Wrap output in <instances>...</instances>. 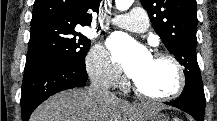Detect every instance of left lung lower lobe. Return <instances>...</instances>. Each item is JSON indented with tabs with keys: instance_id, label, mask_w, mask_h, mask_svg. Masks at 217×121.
Masks as SVG:
<instances>
[{
	"instance_id": "1",
	"label": "left lung lower lobe",
	"mask_w": 217,
	"mask_h": 121,
	"mask_svg": "<svg viewBox=\"0 0 217 121\" xmlns=\"http://www.w3.org/2000/svg\"><path fill=\"white\" fill-rule=\"evenodd\" d=\"M166 104L189 113L196 121H203L204 119V90L192 82L186 83L183 92L176 100L166 102Z\"/></svg>"
}]
</instances>
